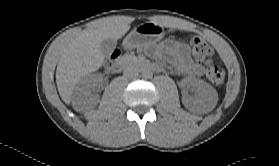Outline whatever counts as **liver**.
I'll list each match as a JSON object with an SVG mask.
<instances>
[{"label":"liver","instance_id":"obj_1","mask_svg":"<svg viewBox=\"0 0 279 166\" xmlns=\"http://www.w3.org/2000/svg\"><path fill=\"white\" fill-rule=\"evenodd\" d=\"M129 29L124 17L104 18L94 27L83 30L63 48L57 65L56 83L66 104L71 102L76 84L104 63L101 42L107 38L120 39Z\"/></svg>","mask_w":279,"mask_h":166}]
</instances>
